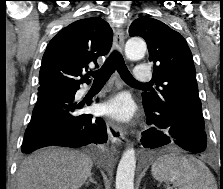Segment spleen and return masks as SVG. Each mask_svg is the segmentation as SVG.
I'll use <instances>...</instances> for the list:
<instances>
[{
    "mask_svg": "<svg viewBox=\"0 0 223 189\" xmlns=\"http://www.w3.org/2000/svg\"><path fill=\"white\" fill-rule=\"evenodd\" d=\"M151 172L157 181L170 182L178 189H217L210 170L194 157L166 154L154 162Z\"/></svg>",
    "mask_w": 223,
    "mask_h": 189,
    "instance_id": "1",
    "label": "spleen"
}]
</instances>
